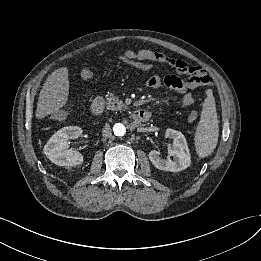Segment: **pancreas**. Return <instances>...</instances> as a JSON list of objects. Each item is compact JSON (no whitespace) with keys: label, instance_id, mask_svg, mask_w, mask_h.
I'll return each mask as SVG.
<instances>
[{"label":"pancreas","instance_id":"pancreas-1","mask_svg":"<svg viewBox=\"0 0 261 261\" xmlns=\"http://www.w3.org/2000/svg\"><path fill=\"white\" fill-rule=\"evenodd\" d=\"M107 100V109L115 111V110H123L126 109L127 106L123 103L122 100H120L117 96L110 93L106 97Z\"/></svg>","mask_w":261,"mask_h":261}]
</instances>
